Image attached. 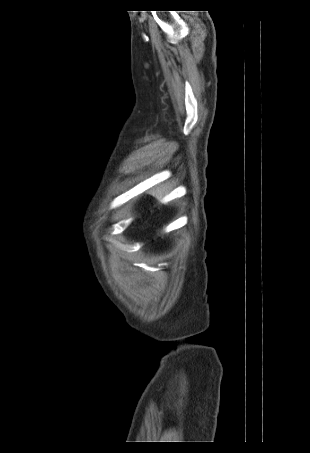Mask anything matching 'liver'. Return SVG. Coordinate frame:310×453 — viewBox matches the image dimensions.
<instances>
[{"mask_svg": "<svg viewBox=\"0 0 310 453\" xmlns=\"http://www.w3.org/2000/svg\"><path fill=\"white\" fill-rule=\"evenodd\" d=\"M151 193L155 195L157 198L161 199L166 192L163 188H157L156 190H153Z\"/></svg>", "mask_w": 310, "mask_h": 453, "instance_id": "6515ba94", "label": "liver"}]
</instances>
